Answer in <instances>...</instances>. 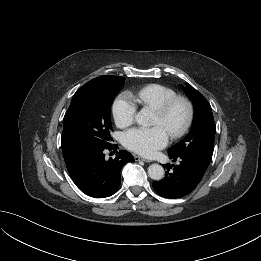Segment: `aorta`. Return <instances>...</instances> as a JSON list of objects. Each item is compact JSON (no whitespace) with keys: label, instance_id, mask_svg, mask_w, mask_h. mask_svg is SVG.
<instances>
[{"label":"aorta","instance_id":"762f6f07","mask_svg":"<svg viewBox=\"0 0 261 261\" xmlns=\"http://www.w3.org/2000/svg\"><path fill=\"white\" fill-rule=\"evenodd\" d=\"M152 119V112L148 108L141 109L135 115V121L137 124L147 126L150 124ZM148 174L153 180H161L164 177V169L159 164H151L148 167Z\"/></svg>","mask_w":261,"mask_h":261}]
</instances>
